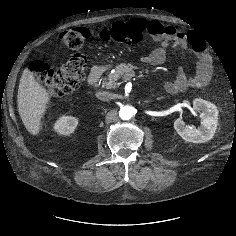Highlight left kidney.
Here are the masks:
<instances>
[{"label": "left kidney", "mask_w": 236, "mask_h": 236, "mask_svg": "<svg viewBox=\"0 0 236 236\" xmlns=\"http://www.w3.org/2000/svg\"><path fill=\"white\" fill-rule=\"evenodd\" d=\"M193 109L201 113V127L196 129L187 126L180 116L174 121V129L187 142H207L213 138L217 129L218 109L213 103L200 98L194 99Z\"/></svg>", "instance_id": "1"}]
</instances>
